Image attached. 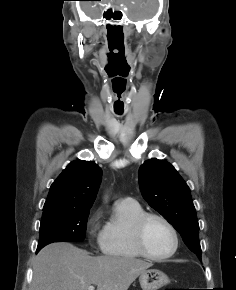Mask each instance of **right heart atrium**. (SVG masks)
<instances>
[{"label": "right heart atrium", "mask_w": 236, "mask_h": 290, "mask_svg": "<svg viewBox=\"0 0 236 290\" xmlns=\"http://www.w3.org/2000/svg\"><path fill=\"white\" fill-rule=\"evenodd\" d=\"M99 217H100L99 213H96L91 218V221H90V226H91L90 235H91V237L95 236V226L98 223Z\"/></svg>", "instance_id": "obj_1"}]
</instances>
